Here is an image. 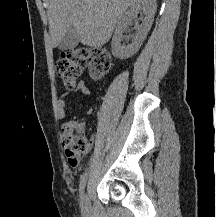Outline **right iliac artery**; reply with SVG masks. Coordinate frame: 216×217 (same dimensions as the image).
Returning <instances> with one entry per match:
<instances>
[{"label":"right iliac artery","mask_w":216,"mask_h":217,"mask_svg":"<svg viewBox=\"0 0 216 217\" xmlns=\"http://www.w3.org/2000/svg\"><path fill=\"white\" fill-rule=\"evenodd\" d=\"M86 180H87V173H84L83 175H81L80 184H79V191L81 194L84 192Z\"/></svg>","instance_id":"right-iliac-artery-1"}]
</instances>
